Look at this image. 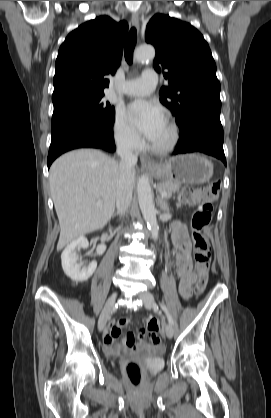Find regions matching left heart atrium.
Instances as JSON below:
<instances>
[{"label":"left heart atrium","instance_id":"left-heart-atrium-1","mask_svg":"<svg viewBox=\"0 0 271 418\" xmlns=\"http://www.w3.org/2000/svg\"><path fill=\"white\" fill-rule=\"evenodd\" d=\"M127 116L131 124L149 141H152L165 123L161 109L145 100L129 105Z\"/></svg>","mask_w":271,"mask_h":418}]
</instances>
